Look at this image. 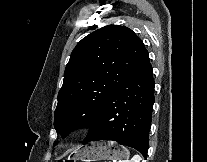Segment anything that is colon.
Returning <instances> with one entry per match:
<instances>
[{
  "instance_id": "obj_1",
  "label": "colon",
  "mask_w": 207,
  "mask_h": 162,
  "mask_svg": "<svg viewBox=\"0 0 207 162\" xmlns=\"http://www.w3.org/2000/svg\"><path fill=\"white\" fill-rule=\"evenodd\" d=\"M59 162H76V161L71 160V159H67V160H62V161H59Z\"/></svg>"
}]
</instances>
